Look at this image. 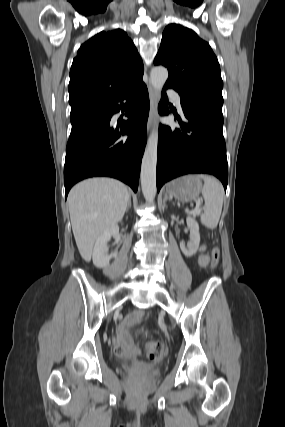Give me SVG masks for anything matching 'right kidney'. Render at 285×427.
Returning <instances> with one entry per match:
<instances>
[{
    "label": "right kidney",
    "mask_w": 285,
    "mask_h": 427,
    "mask_svg": "<svg viewBox=\"0 0 285 427\" xmlns=\"http://www.w3.org/2000/svg\"><path fill=\"white\" fill-rule=\"evenodd\" d=\"M119 233V228L117 225L110 227L107 231L103 232L96 240L92 259L93 264L97 268H106L109 266V261L111 258L117 257V252L107 255L105 253L107 243L111 236L117 235Z\"/></svg>",
    "instance_id": "obj_1"
}]
</instances>
